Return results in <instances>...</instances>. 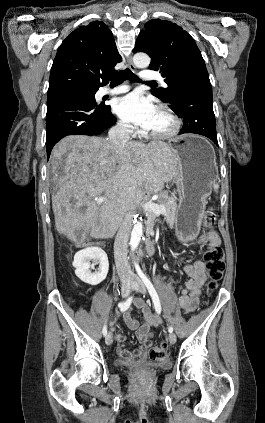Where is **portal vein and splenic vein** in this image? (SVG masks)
I'll list each match as a JSON object with an SVG mask.
<instances>
[{"mask_svg": "<svg viewBox=\"0 0 265 423\" xmlns=\"http://www.w3.org/2000/svg\"><path fill=\"white\" fill-rule=\"evenodd\" d=\"M105 201V197L100 196L95 198V202L98 205H101ZM142 208L146 212L154 213L155 215L164 214L166 212V208L163 205H159L155 202H145L142 204Z\"/></svg>", "mask_w": 265, "mask_h": 423, "instance_id": "obj_1", "label": "portal vein and splenic vein"}]
</instances>
